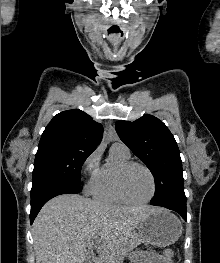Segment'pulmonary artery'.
I'll list each match as a JSON object with an SVG mask.
<instances>
[{
	"label": "pulmonary artery",
	"mask_w": 220,
	"mask_h": 263,
	"mask_svg": "<svg viewBox=\"0 0 220 263\" xmlns=\"http://www.w3.org/2000/svg\"><path fill=\"white\" fill-rule=\"evenodd\" d=\"M113 148L119 150L120 152L124 153V154H129V149L128 147L122 143V142H115L113 145H112Z\"/></svg>",
	"instance_id": "e3ab8cb5"
}]
</instances>
